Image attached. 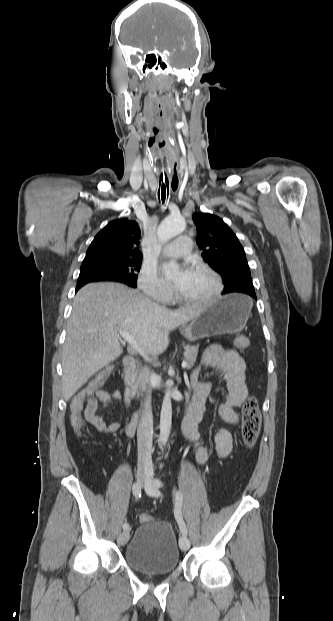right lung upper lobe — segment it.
Wrapping results in <instances>:
<instances>
[{
	"label": "right lung upper lobe",
	"instance_id": "right-lung-upper-lobe-1",
	"mask_svg": "<svg viewBox=\"0 0 333 621\" xmlns=\"http://www.w3.org/2000/svg\"><path fill=\"white\" fill-rule=\"evenodd\" d=\"M140 228L127 218L109 222L94 238L84 260L102 258H142L138 248Z\"/></svg>",
	"mask_w": 333,
	"mask_h": 621
}]
</instances>
